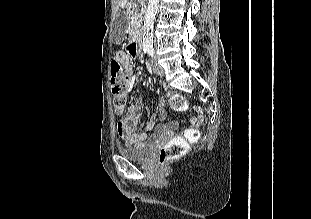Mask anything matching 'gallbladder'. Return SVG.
Returning a JSON list of instances; mask_svg holds the SVG:
<instances>
[{
    "label": "gallbladder",
    "mask_w": 311,
    "mask_h": 219,
    "mask_svg": "<svg viewBox=\"0 0 311 219\" xmlns=\"http://www.w3.org/2000/svg\"><path fill=\"white\" fill-rule=\"evenodd\" d=\"M126 28L127 21L125 17L122 15L117 16L111 29V37L114 43L119 44L125 39Z\"/></svg>",
    "instance_id": "1"
}]
</instances>
